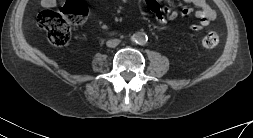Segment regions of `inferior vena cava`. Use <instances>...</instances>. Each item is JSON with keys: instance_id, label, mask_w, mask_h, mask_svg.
<instances>
[{"instance_id": "1", "label": "inferior vena cava", "mask_w": 253, "mask_h": 138, "mask_svg": "<svg viewBox=\"0 0 253 138\" xmlns=\"http://www.w3.org/2000/svg\"><path fill=\"white\" fill-rule=\"evenodd\" d=\"M120 43V40L119 39H110L107 41L106 45L110 48H114L116 47L117 45H119Z\"/></svg>"}]
</instances>
